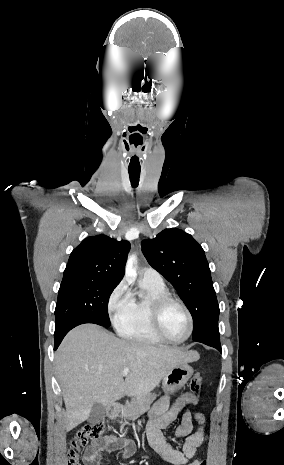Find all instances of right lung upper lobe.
Wrapping results in <instances>:
<instances>
[{
	"label": "right lung upper lobe",
	"mask_w": 284,
	"mask_h": 465,
	"mask_svg": "<svg viewBox=\"0 0 284 465\" xmlns=\"http://www.w3.org/2000/svg\"><path fill=\"white\" fill-rule=\"evenodd\" d=\"M130 243L106 235L87 237L70 254L63 279L87 278L119 284Z\"/></svg>",
	"instance_id": "1"
}]
</instances>
